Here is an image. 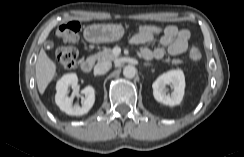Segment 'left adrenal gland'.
I'll return each mask as SVG.
<instances>
[{
	"mask_svg": "<svg viewBox=\"0 0 244 157\" xmlns=\"http://www.w3.org/2000/svg\"><path fill=\"white\" fill-rule=\"evenodd\" d=\"M143 66L147 67V66H151V63H144Z\"/></svg>",
	"mask_w": 244,
	"mask_h": 157,
	"instance_id": "obj_1",
	"label": "left adrenal gland"
}]
</instances>
